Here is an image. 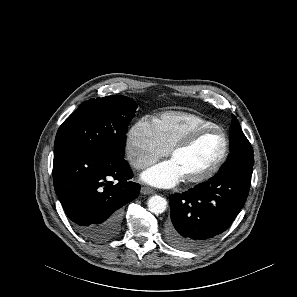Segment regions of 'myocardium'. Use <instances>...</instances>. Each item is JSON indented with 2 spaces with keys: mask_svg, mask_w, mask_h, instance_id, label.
Wrapping results in <instances>:
<instances>
[{
  "mask_svg": "<svg viewBox=\"0 0 297 297\" xmlns=\"http://www.w3.org/2000/svg\"><path fill=\"white\" fill-rule=\"evenodd\" d=\"M207 133H217L221 136L223 140V150L214 165H212L208 170L204 173L190 178H184V182L188 185H196L203 182L208 181L212 177H214L219 170L225 164L229 151H230V144L229 139L226 133L218 126H209V127H200L197 129L192 130L187 135H185L182 139L176 142L170 149H169V156L172 158L176 153L188 148L191 146L200 136L207 134Z\"/></svg>",
  "mask_w": 297,
  "mask_h": 297,
  "instance_id": "f54148a6",
  "label": "myocardium"
}]
</instances>
